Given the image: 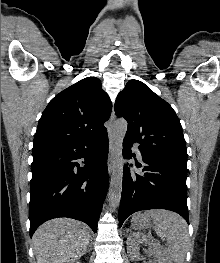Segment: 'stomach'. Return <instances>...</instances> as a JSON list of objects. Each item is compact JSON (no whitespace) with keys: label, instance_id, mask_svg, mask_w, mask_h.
<instances>
[{"label":"stomach","instance_id":"stomach-1","mask_svg":"<svg viewBox=\"0 0 220 263\" xmlns=\"http://www.w3.org/2000/svg\"><path fill=\"white\" fill-rule=\"evenodd\" d=\"M133 228L136 229H143V228H150L153 226L151 219L145 218L144 214H135L131 220Z\"/></svg>","mask_w":220,"mask_h":263}]
</instances>
